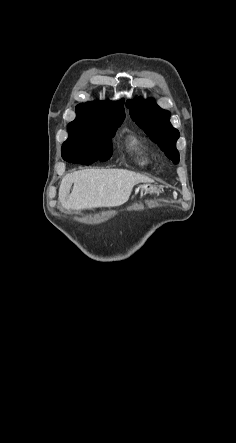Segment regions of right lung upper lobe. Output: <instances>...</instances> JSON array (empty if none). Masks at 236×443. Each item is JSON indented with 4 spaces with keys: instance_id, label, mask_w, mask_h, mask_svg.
I'll return each mask as SVG.
<instances>
[{
    "instance_id": "right-lung-upper-lobe-1",
    "label": "right lung upper lobe",
    "mask_w": 236,
    "mask_h": 443,
    "mask_svg": "<svg viewBox=\"0 0 236 443\" xmlns=\"http://www.w3.org/2000/svg\"><path fill=\"white\" fill-rule=\"evenodd\" d=\"M124 100L118 102H86L77 105V117H101L115 120H124Z\"/></svg>"
}]
</instances>
